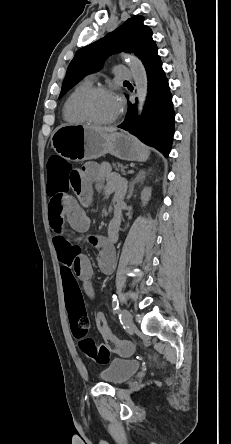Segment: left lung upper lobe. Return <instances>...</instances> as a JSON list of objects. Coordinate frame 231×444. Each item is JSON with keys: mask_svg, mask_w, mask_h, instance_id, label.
Returning <instances> with one entry per match:
<instances>
[{"mask_svg": "<svg viewBox=\"0 0 231 444\" xmlns=\"http://www.w3.org/2000/svg\"><path fill=\"white\" fill-rule=\"evenodd\" d=\"M143 21L142 16H134L115 31L79 49L68 66L59 98L83 77L98 71L113 53H134L144 64L158 48L152 39L151 29Z\"/></svg>", "mask_w": 231, "mask_h": 444, "instance_id": "left-lung-upper-lobe-1", "label": "left lung upper lobe"}]
</instances>
